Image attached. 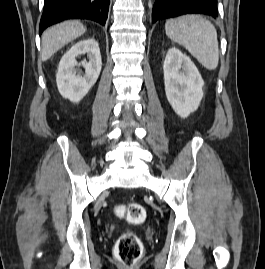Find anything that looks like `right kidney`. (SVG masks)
<instances>
[{"instance_id":"obj_1","label":"right kidney","mask_w":265,"mask_h":269,"mask_svg":"<svg viewBox=\"0 0 265 269\" xmlns=\"http://www.w3.org/2000/svg\"><path fill=\"white\" fill-rule=\"evenodd\" d=\"M87 54L78 63L76 58ZM83 66L85 74H76L75 67ZM102 67L99 44L95 39H84L73 45L61 58L56 74L57 87L62 97L79 102L96 83Z\"/></svg>"}]
</instances>
